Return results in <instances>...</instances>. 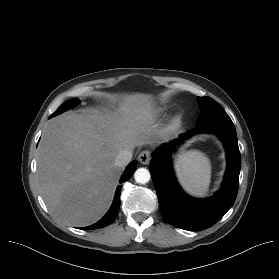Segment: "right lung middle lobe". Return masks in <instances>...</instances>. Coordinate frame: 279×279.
Returning a JSON list of instances; mask_svg holds the SVG:
<instances>
[{
  "mask_svg": "<svg viewBox=\"0 0 279 279\" xmlns=\"http://www.w3.org/2000/svg\"><path fill=\"white\" fill-rule=\"evenodd\" d=\"M80 100L78 98L68 100L64 104H62L50 117L56 116L68 109L73 108L74 106L78 105Z\"/></svg>",
  "mask_w": 279,
  "mask_h": 279,
  "instance_id": "1",
  "label": "right lung middle lobe"
}]
</instances>
